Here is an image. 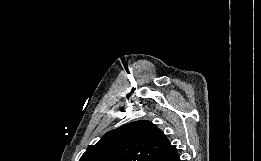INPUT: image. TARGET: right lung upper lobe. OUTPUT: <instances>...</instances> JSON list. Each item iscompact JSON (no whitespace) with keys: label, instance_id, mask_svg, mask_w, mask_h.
<instances>
[{"label":"right lung upper lobe","instance_id":"obj_1","mask_svg":"<svg viewBox=\"0 0 261 161\" xmlns=\"http://www.w3.org/2000/svg\"><path fill=\"white\" fill-rule=\"evenodd\" d=\"M175 153L160 129L139 120L107 132L79 161H162Z\"/></svg>","mask_w":261,"mask_h":161}]
</instances>
